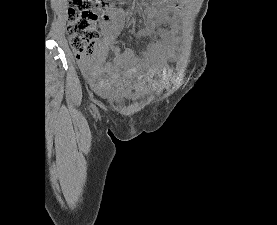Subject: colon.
Returning a JSON list of instances; mask_svg holds the SVG:
<instances>
[{
	"label": "colon",
	"instance_id": "obj_1",
	"mask_svg": "<svg viewBox=\"0 0 277 225\" xmlns=\"http://www.w3.org/2000/svg\"><path fill=\"white\" fill-rule=\"evenodd\" d=\"M109 9L107 0H70L68 33L70 46L77 55H91L103 50L96 22Z\"/></svg>",
	"mask_w": 277,
	"mask_h": 225
}]
</instances>
